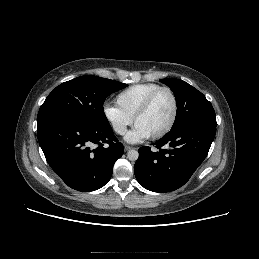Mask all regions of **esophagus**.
<instances>
[{"mask_svg": "<svg viewBox=\"0 0 259 259\" xmlns=\"http://www.w3.org/2000/svg\"><path fill=\"white\" fill-rule=\"evenodd\" d=\"M130 149H132L131 146H128V145H125V146H124V150H125V151H128V150H130Z\"/></svg>", "mask_w": 259, "mask_h": 259, "instance_id": "34e87169", "label": "esophagus"}]
</instances>
